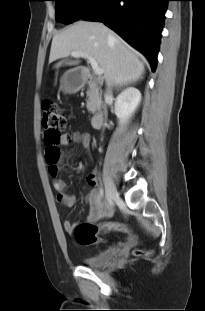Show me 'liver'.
Instances as JSON below:
<instances>
[{
	"label": "liver",
	"mask_w": 205,
	"mask_h": 311,
	"mask_svg": "<svg viewBox=\"0 0 205 311\" xmlns=\"http://www.w3.org/2000/svg\"><path fill=\"white\" fill-rule=\"evenodd\" d=\"M80 52L93 57L103 69L108 86H125L142 78L139 53L99 22L77 21L53 37L49 63ZM77 63V62H76Z\"/></svg>",
	"instance_id": "1"
}]
</instances>
